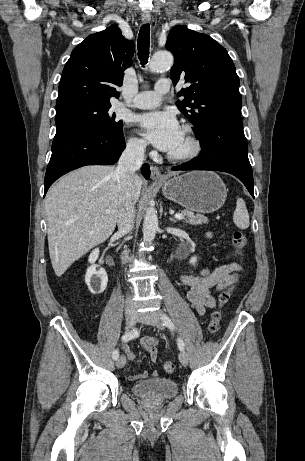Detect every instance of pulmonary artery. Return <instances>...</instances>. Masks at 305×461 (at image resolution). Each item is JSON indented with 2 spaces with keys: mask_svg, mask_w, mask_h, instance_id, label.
Wrapping results in <instances>:
<instances>
[{
  "mask_svg": "<svg viewBox=\"0 0 305 461\" xmlns=\"http://www.w3.org/2000/svg\"><path fill=\"white\" fill-rule=\"evenodd\" d=\"M170 89V82L167 78L156 82L154 90L138 93L127 105L139 109H150L159 105L161 96Z\"/></svg>",
  "mask_w": 305,
  "mask_h": 461,
  "instance_id": "obj_1",
  "label": "pulmonary artery"
}]
</instances>
